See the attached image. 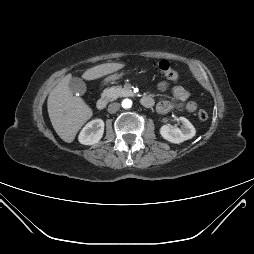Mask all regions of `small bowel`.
Listing matches in <instances>:
<instances>
[{"instance_id":"1","label":"small bowel","mask_w":254,"mask_h":254,"mask_svg":"<svg viewBox=\"0 0 254 254\" xmlns=\"http://www.w3.org/2000/svg\"><path fill=\"white\" fill-rule=\"evenodd\" d=\"M158 88L162 91H165L168 88V84L162 81L158 84ZM172 94L177 102L171 100L160 101L156 105V110L158 113L165 114L177 107L184 108L188 112L196 111L197 104L189 99L190 93L186 88L180 85L174 86L172 88Z\"/></svg>"}]
</instances>
